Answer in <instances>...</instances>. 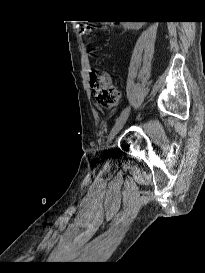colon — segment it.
<instances>
[{
	"mask_svg": "<svg viewBox=\"0 0 205 273\" xmlns=\"http://www.w3.org/2000/svg\"><path fill=\"white\" fill-rule=\"evenodd\" d=\"M106 23H109L107 21ZM90 24H80V31L83 34L91 32ZM90 88L96 103L104 108L116 105L120 99V91L114 84L111 76L104 70L98 68L90 72Z\"/></svg>",
	"mask_w": 205,
	"mask_h": 273,
	"instance_id": "5ec220e1",
	"label": "colon"
}]
</instances>
